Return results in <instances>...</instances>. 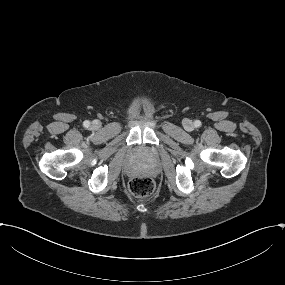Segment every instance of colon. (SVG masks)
<instances>
[{
	"label": "colon",
	"mask_w": 285,
	"mask_h": 285,
	"mask_svg": "<svg viewBox=\"0 0 285 285\" xmlns=\"http://www.w3.org/2000/svg\"><path fill=\"white\" fill-rule=\"evenodd\" d=\"M130 192L137 197H146L155 190V182L152 178L137 176L129 181Z\"/></svg>",
	"instance_id": "5ec220e1"
}]
</instances>
